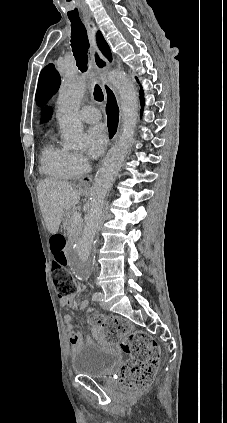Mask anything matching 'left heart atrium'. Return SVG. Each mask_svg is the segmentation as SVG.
<instances>
[{"label":"left heart atrium","instance_id":"obj_1","mask_svg":"<svg viewBox=\"0 0 227 423\" xmlns=\"http://www.w3.org/2000/svg\"><path fill=\"white\" fill-rule=\"evenodd\" d=\"M89 153L92 157L100 156L108 144V132L103 126H95L87 132Z\"/></svg>","mask_w":227,"mask_h":423}]
</instances>
